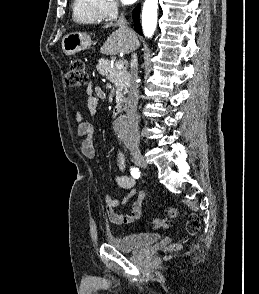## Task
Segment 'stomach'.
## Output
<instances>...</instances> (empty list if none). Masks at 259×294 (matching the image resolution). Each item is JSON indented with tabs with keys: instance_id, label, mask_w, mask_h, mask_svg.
Here are the masks:
<instances>
[{
	"instance_id": "stomach-1",
	"label": "stomach",
	"mask_w": 259,
	"mask_h": 294,
	"mask_svg": "<svg viewBox=\"0 0 259 294\" xmlns=\"http://www.w3.org/2000/svg\"><path fill=\"white\" fill-rule=\"evenodd\" d=\"M61 45L63 52L70 56L89 49L92 45V40L86 33L72 32L63 37Z\"/></svg>"
}]
</instances>
